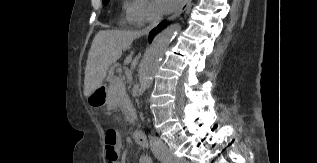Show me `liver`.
<instances>
[{
  "label": "liver",
  "mask_w": 317,
  "mask_h": 163,
  "mask_svg": "<svg viewBox=\"0 0 317 163\" xmlns=\"http://www.w3.org/2000/svg\"><path fill=\"white\" fill-rule=\"evenodd\" d=\"M141 34L136 31L101 30L91 44L85 68L84 96L88 97L102 86L110 65L122 55V51L129 48L132 42ZM133 52L124 60L129 64Z\"/></svg>",
  "instance_id": "liver-1"
}]
</instances>
